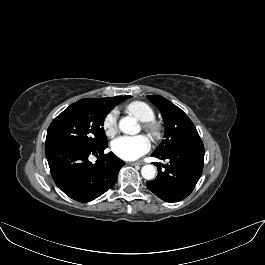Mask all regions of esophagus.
Wrapping results in <instances>:
<instances>
[{
    "instance_id": "1",
    "label": "esophagus",
    "mask_w": 265,
    "mask_h": 265,
    "mask_svg": "<svg viewBox=\"0 0 265 265\" xmlns=\"http://www.w3.org/2000/svg\"><path fill=\"white\" fill-rule=\"evenodd\" d=\"M143 164H144V163L141 162V161L130 163V165H139V166H141V165H143Z\"/></svg>"
}]
</instances>
